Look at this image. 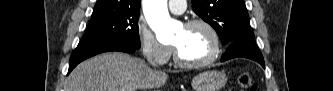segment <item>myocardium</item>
Masks as SVG:
<instances>
[{
	"instance_id": "obj_1",
	"label": "myocardium",
	"mask_w": 333,
	"mask_h": 91,
	"mask_svg": "<svg viewBox=\"0 0 333 91\" xmlns=\"http://www.w3.org/2000/svg\"><path fill=\"white\" fill-rule=\"evenodd\" d=\"M197 26L203 27L211 36V39L213 42L212 53L208 58H206L202 61L192 62V61H187V60L183 59L182 56L180 55L178 48L176 46H173L174 60H175V63L180 67L189 68V69L203 68V67H206V66L212 64L213 62H215L218 59V57L220 56L221 40H220L217 30L209 22L202 20V19H192V20L187 21L184 24L185 28H192V27H197Z\"/></svg>"
}]
</instances>
